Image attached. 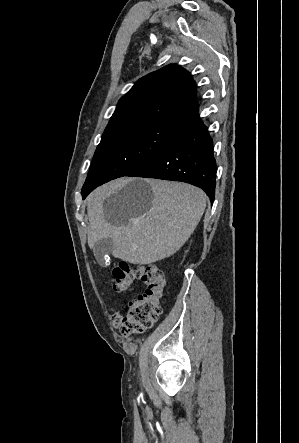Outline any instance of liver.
Instances as JSON below:
<instances>
[{"instance_id": "liver-1", "label": "liver", "mask_w": 299, "mask_h": 443, "mask_svg": "<svg viewBox=\"0 0 299 443\" xmlns=\"http://www.w3.org/2000/svg\"><path fill=\"white\" fill-rule=\"evenodd\" d=\"M205 207L203 191L189 184L118 179L87 198L88 246L94 248L100 239L110 238L115 258L151 264L170 257L185 244Z\"/></svg>"}]
</instances>
